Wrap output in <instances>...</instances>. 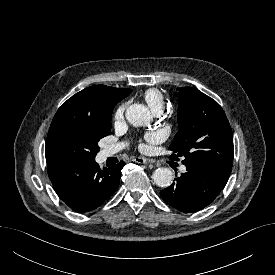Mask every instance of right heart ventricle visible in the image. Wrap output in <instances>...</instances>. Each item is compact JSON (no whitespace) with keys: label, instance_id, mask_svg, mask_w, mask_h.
I'll return each mask as SVG.
<instances>
[{"label":"right heart ventricle","instance_id":"obj_1","mask_svg":"<svg viewBox=\"0 0 275 275\" xmlns=\"http://www.w3.org/2000/svg\"><path fill=\"white\" fill-rule=\"evenodd\" d=\"M143 98L152 111L162 110L164 106V96L158 89H147L143 94Z\"/></svg>","mask_w":275,"mask_h":275}]
</instances>
